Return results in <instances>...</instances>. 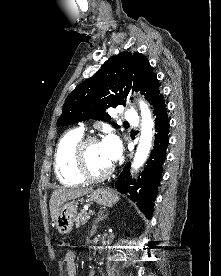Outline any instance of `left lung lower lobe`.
Listing matches in <instances>:
<instances>
[{"label": "left lung lower lobe", "instance_id": "left-lung-lower-lobe-1", "mask_svg": "<svg viewBox=\"0 0 221 276\" xmlns=\"http://www.w3.org/2000/svg\"><path fill=\"white\" fill-rule=\"evenodd\" d=\"M155 116V140L149 160L137 181L130 176V163L126 164L115 182V188L134 201L142 213L151 219L153 202L162 177V165L169 142V118L163 95L160 94L153 104Z\"/></svg>", "mask_w": 221, "mask_h": 276}]
</instances>
